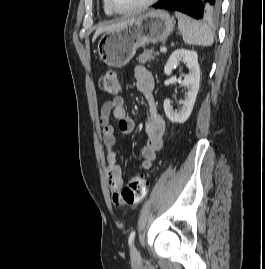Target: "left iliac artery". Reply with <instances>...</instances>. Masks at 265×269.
Masks as SVG:
<instances>
[{"label": "left iliac artery", "instance_id": "obj_1", "mask_svg": "<svg viewBox=\"0 0 265 269\" xmlns=\"http://www.w3.org/2000/svg\"><path fill=\"white\" fill-rule=\"evenodd\" d=\"M135 235H136V231L134 230V231L131 232V234L129 236V240L128 241H129V245L130 246L132 245V243L134 241Z\"/></svg>", "mask_w": 265, "mask_h": 269}]
</instances>
